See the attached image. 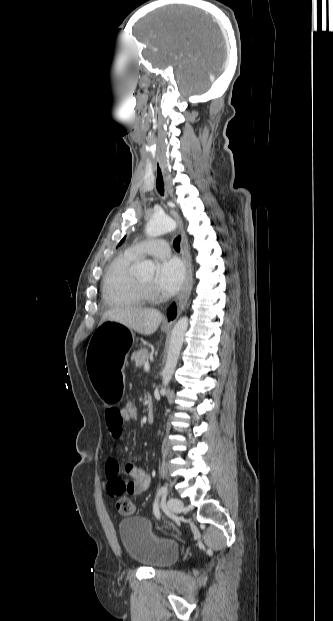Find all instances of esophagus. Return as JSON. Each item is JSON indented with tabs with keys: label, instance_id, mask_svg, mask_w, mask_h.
<instances>
[{
	"label": "esophagus",
	"instance_id": "1",
	"mask_svg": "<svg viewBox=\"0 0 333 621\" xmlns=\"http://www.w3.org/2000/svg\"><path fill=\"white\" fill-rule=\"evenodd\" d=\"M155 189L162 199H166L168 195V186L165 184L164 174L160 169L156 171ZM170 212L179 225V232L181 235V253L186 266V280L184 289L181 292L179 298L175 302L171 303V305L169 306L166 318L163 320V326H171L174 324V322L177 320L178 316L184 309L192 289V269L190 255L188 251L187 238L183 231L181 221L177 212L175 210H171Z\"/></svg>",
	"mask_w": 333,
	"mask_h": 621
}]
</instances>
